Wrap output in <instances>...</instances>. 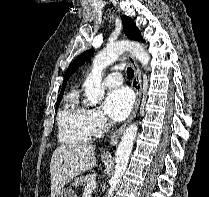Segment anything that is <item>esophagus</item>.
<instances>
[{
    "mask_svg": "<svg viewBox=\"0 0 209 197\" xmlns=\"http://www.w3.org/2000/svg\"><path fill=\"white\" fill-rule=\"evenodd\" d=\"M126 57L128 61L130 62L131 66L133 67L134 74H135L134 80H133V87H134L135 94H136V100H135L134 107H133L130 117L119 129H117L113 133L108 147H112L113 145L116 144V142L119 140V138L123 134L127 125L133 120L139 108V104H140L141 97H142V79H141V71H140L139 65L137 61L135 60V58L133 57V55L127 53Z\"/></svg>",
    "mask_w": 209,
    "mask_h": 197,
    "instance_id": "1",
    "label": "esophagus"
}]
</instances>
